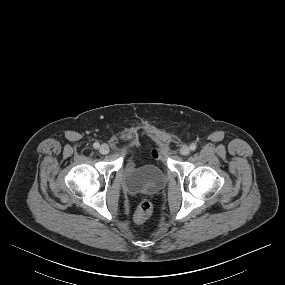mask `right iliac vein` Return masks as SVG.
I'll return each instance as SVG.
<instances>
[{"instance_id": "right-iliac-vein-1", "label": "right iliac vein", "mask_w": 285, "mask_h": 285, "mask_svg": "<svg viewBox=\"0 0 285 285\" xmlns=\"http://www.w3.org/2000/svg\"><path fill=\"white\" fill-rule=\"evenodd\" d=\"M109 146L107 144H102L100 147H99V152L103 155H106L109 153Z\"/></svg>"}]
</instances>
